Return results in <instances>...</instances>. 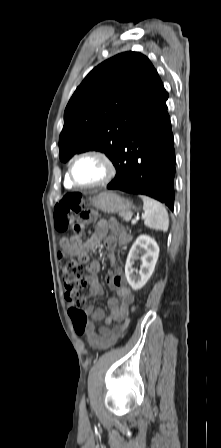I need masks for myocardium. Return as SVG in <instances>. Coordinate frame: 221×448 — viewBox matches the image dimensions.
<instances>
[{"label":"myocardium","mask_w":221,"mask_h":448,"mask_svg":"<svg viewBox=\"0 0 221 448\" xmlns=\"http://www.w3.org/2000/svg\"><path fill=\"white\" fill-rule=\"evenodd\" d=\"M86 156L96 157L104 163L107 173H106V176L101 181H99L97 183H93V184H82V183H79L74 178L73 169H74V165H75L76 161L79 160L80 158H83ZM67 174H68V179L72 185L79 187V188H83V189H93V188L103 187V186H106L109 183H111L117 174V167H116L114 161L112 160V158L107 153L100 151V150H88V151L78 154L77 156H75L73 158V160L71 161V163L69 165Z\"/></svg>","instance_id":"f54148a6"}]
</instances>
